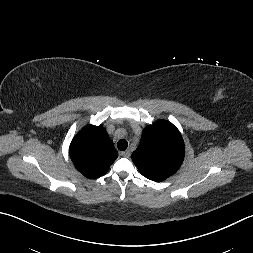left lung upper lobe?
Masks as SVG:
<instances>
[{"instance_id":"5c2ea615","label":"left lung upper lobe","mask_w":253,"mask_h":253,"mask_svg":"<svg viewBox=\"0 0 253 253\" xmlns=\"http://www.w3.org/2000/svg\"><path fill=\"white\" fill-rule=\"evenodd\" d=\"M184 154V141L178 129L160 120L145 128L132 160L144 177L160 182L177 172Z\"/></svg>"}]
</instances>
